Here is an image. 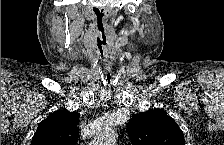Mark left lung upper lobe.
<instances>
[{
	"label": "left lung upper lobe",
	"instance_id": "5c2ea615",
	"mask_svg": "<svg viewBox=\"0 0 224 145\" xmlns=\"http://www.w3.org/2000/svg\"><path fill=\"white\" fill-rule=\"evenodd\" d=\"M132 145H184V135L173 118L160 109L139 113L127 124Z\"/></svg>",
	"mask_w": 224,
	"mask_h": 145
}]
</instances>
